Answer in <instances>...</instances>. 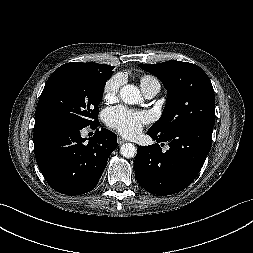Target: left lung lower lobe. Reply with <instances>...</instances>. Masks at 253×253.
Listing matches in <instances>:
<instances>
[{
  "label": "left lung lower lobe",
  "mask_w": 253,
  "mask_h": 253,
  "mask_svg": "<svg viewBox=\"0 0 253 253\" xmlns=\"http://www.w3.org/2000/svg\"><path fill=\"white\" fill-rule=\"evenodd\" d=\"M212 131L213 126L205 124L180 128L168 136L148 130L157 143L138 146L134 165L140 186L156 195H171L188 187L210 151ZM161 142H167L169 150L162 152Z\"/></svg>",
  "instance_id": "0a47b994"
}]
</instances>
